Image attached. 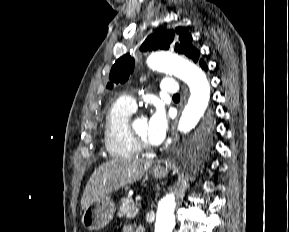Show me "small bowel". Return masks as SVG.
<instances>
[{
    "mask_svg": "<svg viewBox=\"0 0 289 232\" xmlns=\"http://www.w3.org/2000/svg\"><path fill=\"white\" fill-rule=\"evenodd\" d=\"M138 228H133L132 226H124L121 232H137Z\"/></svg>",
    "mask_w": 289,
    "mask_h": 232,
    "instance_id": "c3829d8e",
    "label": "small bowel"
}]
</instances>
